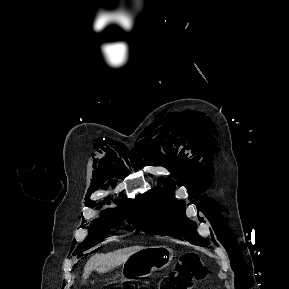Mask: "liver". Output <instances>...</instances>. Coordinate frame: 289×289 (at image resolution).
Returning a JSON list of instances; mask_svg holds the SVG:
<instances>
[{"mask_svg":"<svg viewBox=\"0 0 289 289\" xmlns=\"http://www.w3.org/2000/svg\"><path fill=\"white\" fill-rule=\"evenodd\" d=\"M143 249L141 246H133L116 250L107 254H96L92 256L84 267L82 278L85 280L93 270L105 273L112 268L123 264L130 256Z\"/></svg>","mask_w":289,"mask_h":289,"instance_id":"obj_1","label":"liver"}]
</instances>
